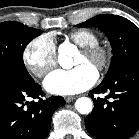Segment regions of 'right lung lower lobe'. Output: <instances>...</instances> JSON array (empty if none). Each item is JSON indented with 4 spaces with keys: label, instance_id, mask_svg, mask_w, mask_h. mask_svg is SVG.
Listing matches in <instances>:
<instances>
[{
    "label": "right lung lower lobe",
    "instance_id": "98d812e1",
    "mask_svg": "<svg viewBox=\"0 0 139 139\" xmlns=\"http://www.w3.org/2000/svg\"><path fill=\"white\" fill-rule=\"evenodd\" d=\"M30 75L0 66V139H45L54 111L65 104L60 96L42 99ZM29 98L35 101H27Z\"/></svg>",
    "mask_w": 139,
    "mask_h": 139
}]
</instances>
